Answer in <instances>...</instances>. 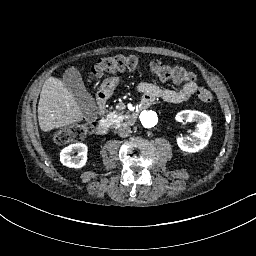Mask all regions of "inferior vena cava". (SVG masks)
Wrapping results in <instances>:
<instances>
[{
  "label": "inferior vena cava",
  "instance_id": "602c4592",
  "mask_svg": "<svg viewBox=\"0 0 256 256\" xmlns=\"http://www.w3.org/2000/svg\"><path fill=\"white\" fill-rule=\"evenodd\" d=\"M117 133L120 137H127L129 133H131V129L129 126H121L117 129Z\"/></svg>",
  "mask_w": 256,
  "mask_h": 256
}]
</instances>
